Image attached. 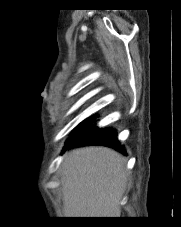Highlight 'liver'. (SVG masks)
<instances>
[{"label": "liver", "mask_w": 181, "mask_h": 227, "mask_svg": "<svg viewBox=\"0 0 181 227\" xmlns=\"http://www.w3.org/2000/svg\"><path fill=\"white\" fill-rule=\"evenodd\" d=\"M125 164L121 154L102 146L70 151L62 164L65 217H120Z\"/></svg>", "instance_id": "1"}]
</instances>
